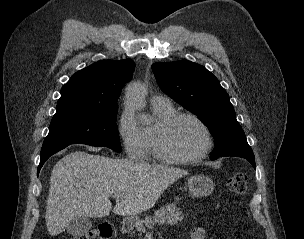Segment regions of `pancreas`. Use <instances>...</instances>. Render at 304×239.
I'll use <instances>...</instances> for the list:
<instances>
[{
  "label": "pancreas",
  "mask_w": 304,
  "mask_h": 239,
  "mask_svg": "<svg viewBox=\"0 0 304 239\" xmlns=\"http://www.w3.org/2000/svg\"><path fill=\"white\" fill-rule=\"evenodd\" d=\"M183 219L184 214L176 207L175 203L167 204L156 210L153 216L140 221L137 226V230L141 235L142 233L146 232V228L152 229L156 224L160 225L167 223L174 225L178 222H182Z\"/></svg>",
  "instance_id": "obj_1"
}]
</instances>
